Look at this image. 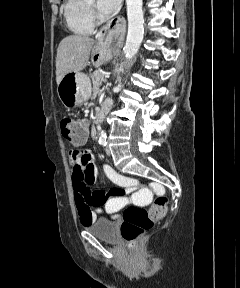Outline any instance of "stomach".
Wrapping results in <instances>:
<instances>
[{"label": "stomach", "mask_w": 240, "mask_h": 288, "mask_svg": "<svg viewBox=\"0 0 240 288\" xmlns=\"http://www.w3.org/2000/svg\"><path fill=\"white\" fill-rule=\"evenodd\" d=\"M90 62L99 67L112 57V49L105 42L95 44L90 53ZM60 101L66 108H73L87 101L91 96V82L88 75L81 72L66 74L57 87Z\"/></svg>", "instance_id": "obj_1"}]
</instances>
